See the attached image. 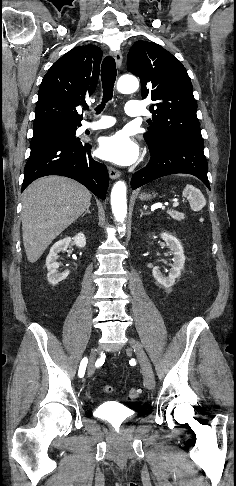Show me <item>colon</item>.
Segmentation results:
<instances>
[{"label": "colon", "instance_id": "colon-1", "mask_svg": "<svg viewBox=\"0 0 236 486\" xmlns=\"http://www.w3.org/2000/svg\"><path fill=\"white\" fill-rule=\"evenodd\" d=\"M112 390L113 389L111 387L105 388V391L108 392V393L112 392ZM141 393H142V389L140 387H133L129 390L128 397L130 399H137V398L140 397Z\"/></svg>", "mask_w": 236, "mask_h": 486}]
</instances>
